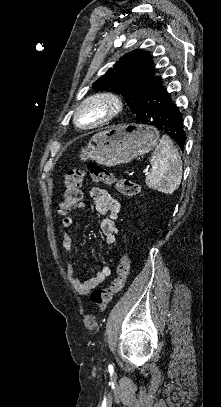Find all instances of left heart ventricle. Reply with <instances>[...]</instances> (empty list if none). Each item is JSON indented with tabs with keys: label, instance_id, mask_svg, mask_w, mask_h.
<instances>
[{
	"label": "left heart ventricle",
	"instance_id": "1",
	"mask_svg": "<svg viewBox=\"0 0 221 407\" xmlns=\"http://www.w3.org/2000/svg\"><path fill=\"white\" fill-rule=\"evenodd\" d=\"M101 112V109L99 106H92L88 110L84 111L82 113V118H85L84 120H91L94 118V116L99 115Z\"/></svg>",
	"mask_w": 221,
	"mask_h": 407
}]
</instances>
